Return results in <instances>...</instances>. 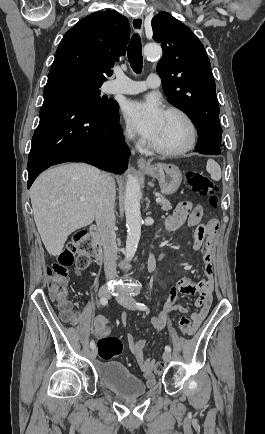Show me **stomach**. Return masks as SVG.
Masks as SVG:
<instances>
[{
	"label": "stomach",
	"mask_w": 265,
	"mask_h": 434,
	"mask_svg": "<svg viewBox=\"0 0 265 434\" xmlns=\"http://www.w3.org/2000/svg\"><path fill=\"white\" fill-rule=\"evenodd\" d=\"M143 174L157 178L162 194H175L181 182L182 174L177 166L172 164H155L149 168H140Z\"/></svg>",
	"instance_id": "stomach-1"
}]
</instances>
